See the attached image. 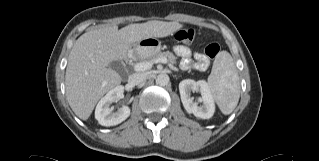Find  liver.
<instances>
[{
    "instance_id": "obj_1",
    "label": "liver",
    "mask_w": 319,
    "mask_h": 161,
    "mask_svg": "<svg viewBox=\"0 0 319 161\" xmlns=\"http://www.w3.org/2000/svg\"><path fill=\"white\" fill-rule=\"evenodd\" d=\"M178 22L148 21L117 26H100L81 35L74 43L65 74L67 101L73 112L87 120L99 99L122 79L109 67L124 60L136 43L149 37H166L182 28Z\"/></svg>"
}]
</instances>
